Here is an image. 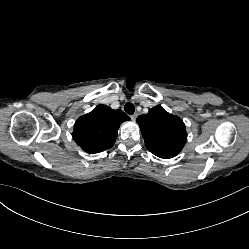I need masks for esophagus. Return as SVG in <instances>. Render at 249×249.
Wrapping results in <instances>:
<instances>
[{"instance_id": "1", "label": "esophagus", "mask_w": 249, "mask_h": 249, "mask_svg": "<svg viewBox=\"0 0 249 249\" xmlns=\"http://www.w3.org/2000/svg\"><path fill=\"white\" fill-rule=\"evenodd\" d=\"M130 117H131L132 121H135L136 118H137V114H133V115H131Z\"/></svg>"}]
</instances>
